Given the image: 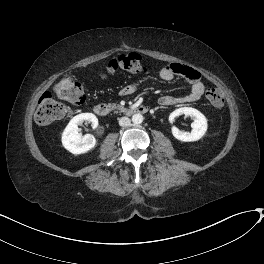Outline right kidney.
<instances>
[{"mask_svg":"<svg viewBox=\"0 0 264 264\" xmlns=\"http://www.w3.org/2000/svg\"><path fill=\"white\" fill-rule=\"evenodd\" d=\"M84 121L92 123L94 129L98 126V119L94 114L81 113L70 120L62 134L64 148L76 155L86 153L96 145V139L93 135L86 134L82 136L78 132V126Z\"/></svg>","mask_w":264,"mask_h":264,"instance_id":"1","label":"right kidney"}]
</instances>
